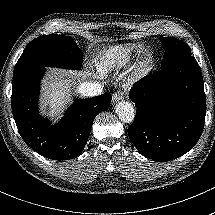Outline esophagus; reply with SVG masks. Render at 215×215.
Listing matches in <instances>:
<instances>
[{"label":"esophagus","instance_id":"esophagus-1","mask_svg":"<svg viewBox=\"0 0 215 215\" xmlns=\"http://www.w3.org/2000/svg\"><path fill=\"white\" fill-rule=\"evenodd\" d=\"M120 98H121V95L119 93L114 94L113 98H112V101L115 103V102L119 101Z\"/></svg>","mask_w":215,"mask_h":215}]
</instances>
